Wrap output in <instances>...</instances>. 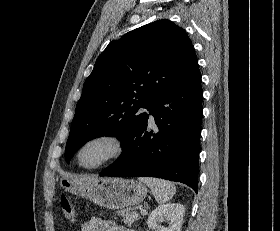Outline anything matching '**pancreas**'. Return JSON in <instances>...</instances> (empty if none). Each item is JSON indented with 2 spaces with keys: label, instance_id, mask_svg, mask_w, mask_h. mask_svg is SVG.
Returning a JSON list of instances; mask_svg holds the SVG:
<instances>
[{
  "label": "pancreas",
  "instance_id": "pancreas-1",
  "mask_svg": "<svg viewBox=\"0 0 280 231\" xmlns=\"http://www.w3.org/2000/svg\"><path fill=\"white\" fill-rule=\"evenodd\" d=\"M119 215H122L124 223H127V225H132L136 219H139L140 215L136 213V211H130V209H120V211H117Z\"/></svg>",
  "mask_w": 280,
  "mask_h": 231
}]
</instances>
